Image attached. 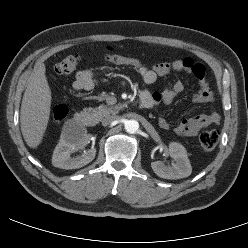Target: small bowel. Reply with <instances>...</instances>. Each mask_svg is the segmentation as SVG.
I'll use <instances>...</instances> for the list:
<instances>
[{"mask_svg": "<svg viewBox=\"0 0 248 248\" xmlns=\"http://www.w3.org/2000/svg\"><path fill=\"white\" fill-rule=\"evenodd\" d=\"M146 84H154L159 77L168 75L171 71L187 72L193 75L199 85V91L194 94L193 102L210 103L215 97L212 89L205 78V67L191 58L178 59L172 63L160 62L152 66H144L137 70ZM101 72H95L91 69H81L76 73L72 88L76 92L88 91L93 89L97 84V77ZM184 90V85L177 80L171 87L165 88L161 92H150L144 90L142 95H149L153 105L159 103L170 104ZM220 121V115L217 111L208 114H202L196 117L180 121L174 128V132L180 136H196L204 128L217 124ZM158 125L164 130L170 128V124L165 118L158 120Z\"/></svg>", "mask_w": 248, "mask_h": 248, "instance_id": "1", "label": "small bowel"}]
</instances>
